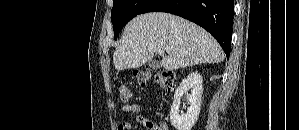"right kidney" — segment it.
<instances>
[{
  "label": "right kidney",
  "instance_id": "right-kidney-1",
  "mask_svg": "<svg viewBox=\"0 0 299 130\" xmlns=\"http://www.w3.org/2000/svg\"><path fill=\"white\" fill-rule=\"evenodd\" d=\"M203 79L197 72L189 74L175 91L174 101L170 110V120L176 130H191L198 119L201 107V96L203 93ZM188 90L191 93L188 94ZM187 94L189 107L186 114L179 115L181 97Z\"/></svg>",
  "mask_w": 299,
  "mask_h": 130
}]
</instances>
